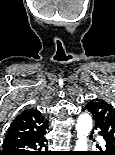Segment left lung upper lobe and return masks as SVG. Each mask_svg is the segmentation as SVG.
Returning <instances> with one entry per match:
<instances>
[{
	"mask_svg": "<svg viewBox=\"0 0 115 155\" xmlns=\"http://www.w3.org/2000/svg\"><path fill=\"white\" fill-rule=\"evenodd\" d=\"M85 108L93 114L96 126L106 138V150L102 155H115V109L103 100H92Z\"/></svg>",
	"mask_w": 115,
	"mask_h": 155,
	"instance_id": "obj_1",
	"label": "left lung upper lobe"
}]
</instances>
